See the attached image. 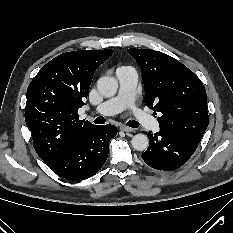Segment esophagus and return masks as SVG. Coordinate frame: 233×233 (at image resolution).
I'll return each instance as SVG.
<instances>
[{"instance_id": "34e87169", "label": "esophagus", "mask_w": 233, "mask_h": 233, "mask_svg": "<svg viewBox=\"0 0 233 233\" xmlns=\"http://www.w3.org/2000/svg\"><path fill=\"white\" fill-rule=\"evenodd\" d=\"M120 130L123 132H132L133 131L132 128L125 126V125L120 126Z\"/></svg>"}]
</instances>
